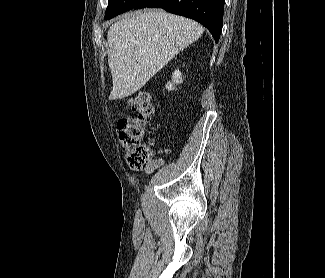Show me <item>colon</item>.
<instances>
[{
	"label": "colon",
	"mask_w": 325,
	"mask_h": 278,
	"mask_svg": "<svg viewBox=\"0 0 325 278\" xmlns=\"http://www.w3.org/2000/svg\"><path fill=\"white\" fill-rule=\"evenodd\" d=\"M134 116L121 119L116 131L126 151V162L131 169L144 168L152 155L151 149L144 143L146 125L153 116L154 106L147 93H138L129 99Z\"/></svg>",
	"instance_id": "1"
}]
</instances>
